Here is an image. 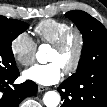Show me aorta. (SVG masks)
I'll return each mask as SVG.
<instances>
[{"label":"aorta","mask_w":107,"mask_h":107,"mask_svg":"<svg viewBox=\"0 0 107 107\" xmlns=\"http://www.w3.org/2000/svg\"><path fill=\"white\" fill-rule=\"evenodd\" d=\"M46 50L44 45H41L36 53V58L38 62L45 63L46 62ZM60 95L55 91H48L44 97L43 102L47 107H57L60 103Z\"/></svg>","instance_id":"762f6f07"}]
</instances>
